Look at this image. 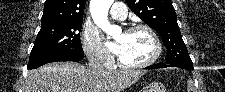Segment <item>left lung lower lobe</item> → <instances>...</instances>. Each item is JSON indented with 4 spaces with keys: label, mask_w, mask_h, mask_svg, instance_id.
Listing matches in <instances>:
<instances>
[{
    "label": "left lung lower lobe",
    "mask_w": 225,
    "mask_h": 92,
    "mask_svg": "<svg viewBox=\"0 0 225 92\" xmlns=\"http://www.w3.org/2000/svg\"><path fill=\"white\" fill-rule=\"evenodd\" d=\"M167 66H171V67H179L185 70H192L193 68V63H168V64H164V63H158V64H154L151 65L149 67H147L146 69H155V68H166Z\"/></svg>",
    "instance_id": "left-lung-lower-lobe-1"
}]
</instances>
